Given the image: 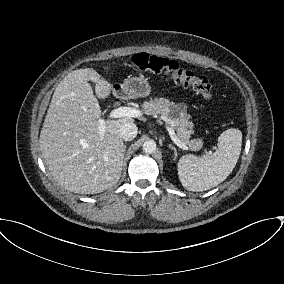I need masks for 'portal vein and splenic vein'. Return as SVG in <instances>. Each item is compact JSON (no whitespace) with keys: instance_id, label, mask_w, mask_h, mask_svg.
Returning <instances> with one entry per match:
<instances>
[{"instance_id":"18ae733b","label":"portal vein and splenic vein","mask_w":284,"mask_h":284,"mask_svg":"<svg viewBox=\"0 0 284 284\" xmlns=\"http://www.w3.org/2000/svg\"><path fill=\"white\" fill-rule=\"evenodd\" d=\"M142 115V112L140 110H137L132 107H119L114 110H112L109 114V119H115V118H122V117H140ZM170 124H173L172 121L167 120ZM173 126V125H172ZM167 131L169 132V135L172 139V141L181 149L188 150L189 147L182 142L177 135L174 132L173 127H167ZM105 133V125L104 121H101V125L99 126V135L102 137Z\"/></svg>"}]
</instances>
